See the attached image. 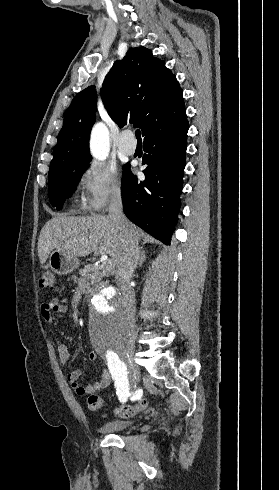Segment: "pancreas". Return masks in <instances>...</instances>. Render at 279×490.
<instances>
[{
	"label": "pancreas",
	"mask_w": 279,
	"mask_h": 490,
	"mask_svg": "<svg viewBox=\"0 0 279 490\" xmlns=\"http://www.w3.org/2000/svg\"><path fill=\"white\" fill-rule=\"evenodd\" d=\"M113 268H110L108 264L106 266H85L83 270H79V274L85 280H89L90 284H97V282H101L102 278L108 276L110 270H113Z\"/></svg>",
	"instance_id": "pancreas-1"
}]
</instances>
